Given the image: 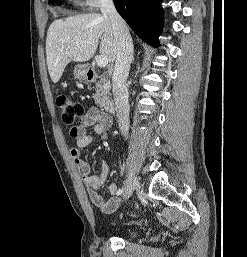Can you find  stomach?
<instances>
[{
	"label": "stomach",
	"instance_id": "0dacf381",
	"mask_svg": "<svg viewBox=\"0 0 247 257\" xmlns=\"http://www.w3.org/2000/svg\"><path fill=\"white\" fill-rule=\"evenodd\" d=\"M74 76L79 80H85L87 78V66L79 64L74 69Z\"/></svg>",
	"mask_w": 247,
	"mask_h": 257
}]
</instances>
